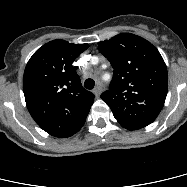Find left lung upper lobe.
Returning a JSON list of instances; mask_svg holds the SVG:
<instances>
[{
	"instance_id": "5c2ea615",
	"label": "left lung upper lobe",
	"mask_w": 187,
	"mask_h": 187,
	"mask_svg": "<svg viewBox=\"0 0 187 187\" xmlns=\"http://www.w3.org/2000/svg\"><path fill=\"white\" fill-rule=\"evenodd\" d=\"M98 45L114 69L110 88L101 98L124 128L137 130L151 124L164 106L168 88L167 68L159 51L131 33Z\"/></svg>"
}]
</instances>
